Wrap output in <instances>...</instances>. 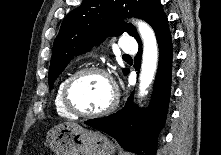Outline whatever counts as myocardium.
Returning a JSON list of instances; mask_svg holds the SVG:
<instances>
[{"label":"myocardium","mask_w":221,"mask_h":155,"mask_svg":"<svg viewBox=\"0 0 221 155\" xmlns=\"http://www.w3.org/2000/svg\"><path fill=\"white\" fill-rule=\"evenodd\" d=\"M87 74H99L104 76L109 83L111 84L112 87V99L110 101V103L108 104V106H106L104 109L97 111V112H84L79 110L78 108H76L74 106V104L71 101L70 98V91L72 86L74 85V83L81 78L84 75ZM62 103L64 105V107L73 115L77 116V117H83V118H99V117H103L106 115H109L110 113H112L118 103H119V90L118 87L114 81V79L112 78V76L110 75V73L108 71H106L105 69L101 68V67H96V66H91V67H85L82 69H79L78 71L74 72L73 74H71L68 79L66 80L63 89H62Z\"/></svg>","instance_id":"obj_1"}]
</instances>
